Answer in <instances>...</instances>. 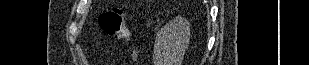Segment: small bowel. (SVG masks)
I'll return each instance as SVG.
<instances>
[{
	"instance_id": "c3829d8e",
	"label": "small bowel",
	"mask_w": 309,
	"mask_h": 65,
	"mask_svg": "<svg viewBox=\"0 0 309 65\" xmlns=\"http://www.w3.org/2000/svg\"><path fill=\"white\" fill-rule=\"evenodd\" d=\"M133 57L136 58V53L135 52H133Z\"/></svg>"
}]
</instances>
